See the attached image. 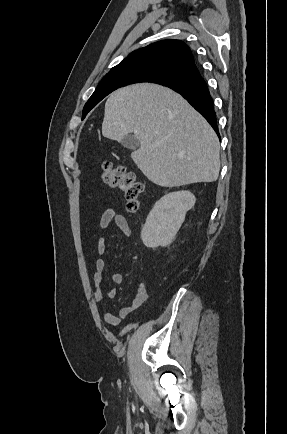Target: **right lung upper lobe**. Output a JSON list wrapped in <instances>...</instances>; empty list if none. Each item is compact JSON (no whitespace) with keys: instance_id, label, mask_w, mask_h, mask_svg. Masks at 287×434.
<instances>
[{"instance_id":"right-lung-upper-lobe-1","label":"right lung upper lobe","mask_w":287,"mask_h":434,"mask_svg":"<svg viewBox=\"0 0 287 434\" xmlns=\"http://www.w3.org/2000/svg\"><path fill=\"white\" fill-rule=\"evenodd\" d=\"M196 68L190 48L180 40H163L132 52L105 76L141 69L165 70L180 76ZM177 81L160 83L167 86Z\"/></svg>"}]
</instances>
